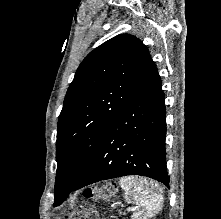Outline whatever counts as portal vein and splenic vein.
<instances>
[{"mask_svg":"<svg viewBox=\"0 0 221 219\" xmlns=\"http://www.w3.org/2000/svg\"><path fill=\"white\" fill-rule=\"evenodd\" d=\"M128 210H129V211H134L135 209H133V208H128Z\"/></svg>","mask_w":221,"mask_h":219,"instance_id":"obj_1","label":"portal vein and splenic vein"}]
</instances>
